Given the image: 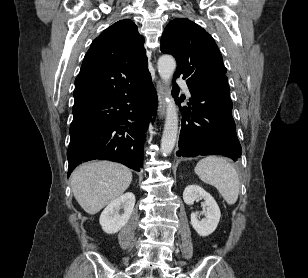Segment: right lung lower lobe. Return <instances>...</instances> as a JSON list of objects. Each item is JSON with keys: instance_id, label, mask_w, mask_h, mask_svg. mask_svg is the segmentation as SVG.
<instances>
[{"instance_id": "98d812e1", "label": "right lung lower lobe", "mask_w": 308, "mask_h": 278, "mask_svg": "<svg viewBox=\"0 0 308 278\" xmlns=\"http://www.w3.org/2000/svg\"><path fill=\"white\" fill-rule=\"evenodd\" d=\"M156 103L149 76L125 95L73 109L68 177L78 164L94 159L119 162L140 171L144 132L156 114Z\"/></svg>"}]
</instances>
